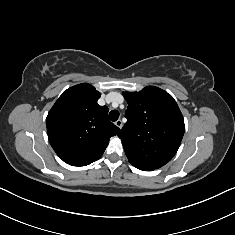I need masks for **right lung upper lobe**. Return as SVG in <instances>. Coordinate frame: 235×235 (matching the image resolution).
<instances>
[{
    "instance_id": "right-lung-upper-lobe-1",
    "label": "right lung upper lobe",
    "mask_w": 235,
    "mask_h": 235,
    "mask_svg": "<svg viewBox=\"0 0 235 235\" xmlns=\"http://www.w3.org/2000/svg\"><path fill=\"white\" fill-rule=\"evenodd\" d=\"M101 94L87 83L59 97L46 118L47 134L56 154L73 166H86L104 153L120 129L108 120V108L98 105Z\"/></svg>"
}]
</instances>
